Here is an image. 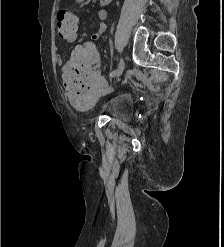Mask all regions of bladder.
<instances>
[{"instance_id":"1","label":"bladder","mask_w":224,"mask_h":247,"mask_svg":"<svg viewBox=\"0 0 224 247\" xmlns=\"http://www.w3.org/2000/svg\"><path fill=\"white\" fill-rule=\"evenodd\" d=\"M99 113L121 121H130L134 116V100L127 92L112 94L101 103Z\"/></svg>"}]
</instances>
